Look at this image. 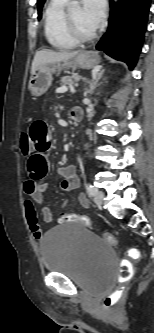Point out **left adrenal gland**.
<instances>
[{"label":"left adrenal gland","mask_w":154,"mask_h":333,"mask_svg":"<svg viewBox=\"0 0 154 333\" xmlns=\"http://www.w3.org/2000/svg\"><path fill=\"white\" fill-rule=\"evenodd\" d=\"M104 71H105L104 69L101 70L96 75V77H93V79L90 81L89 89L87 90L88 93H92L96 89V87H98L101 84V83L99 84L98 82L102 78Z\"/></svg>","instance_id":"left-adrenal-gland-1"}]
</instances>
